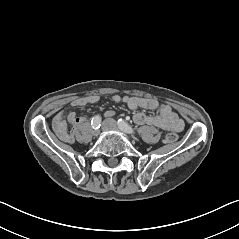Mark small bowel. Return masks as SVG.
Masks as SVG:
<instances>
[{
	"label": "small bowel",
	"instance_id": "obj_1",
	"mask_svg": "<svg viewBox=\"0 0 239 239\" xmlns=\"http://www.w3.org/2000/svg\"><path fill=\"white\" fill-rule=\"evenodd\" d=\"M98 95H89L74 100L71 104L73 108L83 107L88 104L98 102ZM112 101L115 103L124 102L130 109L136 111L133 120L138 125H152L162 128L167 131L180 132L184 128L183 120L175 113L172 108L164 103L158 102L156 99L148 97H121L118 94L112 96ZM140 109H148L159 111L156 115H146ZM108 116L113 115V111L107 112ZM67 121L74 127L85 122V118L76 117L74 112L60 111L54 118L53 127L58 137L64 142L72 143L75 139L76 131L68 130Z\"/></svg>",
	"mask_w": 239,
	"mask_h": 239
}]
</instances>
